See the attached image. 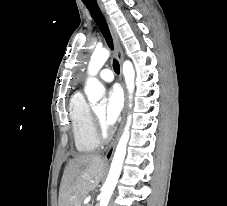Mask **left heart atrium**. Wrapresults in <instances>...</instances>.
<instances>
[{
  "mask_svg": "<svg viewBox=\"0 0 227 206\" xmlns=\"http://www.w3.org/2000/svg\"><path fill=\"white\" fill-rule=\"evenodd\" d=\"M123 102L122 90L118 86L112 87L108 92L106 109L102 117L105 127H110L118 120L123 108Z\"/></svg>",
  "mask_w": 227,
  "mask_h": 206,
  "instance_id": "39dd6f15",
  "label": "left heart atrium"
}]
</instances>
